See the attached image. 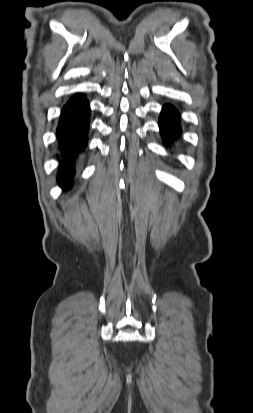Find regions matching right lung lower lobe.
I'll return each mask as SVG.
<instances>
[{"label":"right lung lower lobe","instance_id":"98d812e1","mask_svg":"<svg viewBox=\"0 0 253 413\" xmlns=\"http://www.w3.org/2000/svg\"><path fill=\"white\" fill-rule=\"evenodd\" d=\"M89 117V102L84 95H75L63 107L57 128V139L62 153V169L58 178L64 189L70 187L77 151H82L87 146Z\"/></svg>","mask_w":253,"mask_h":413}]
</instances>
